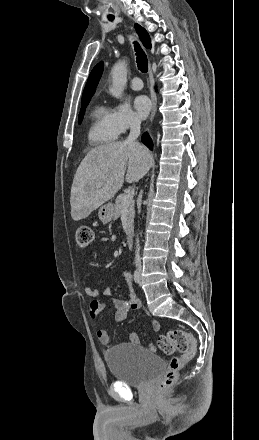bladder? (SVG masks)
Masks as SVG:
<instances>
[{"label":"bladder","instance_id":"31cf9c89","mask_svg":"<svg viewBox=\"0 0 259 440\" xmlns=\"http://www.w3.org/2000/svg\"><path fill=\"white\" fill-rule=\"evenodd\" d=\"M112 376L131 386H144L165 369L163 359L137 345H122L105 353Z\"/></svg>","mask_w":259,"mask_h":440}]
</instances>
